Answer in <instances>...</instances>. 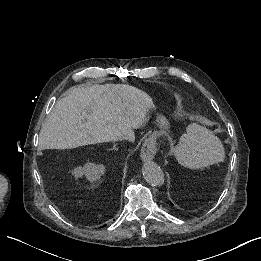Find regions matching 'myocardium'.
<instances>
[{"label": "myocardium", "mask_w": 261, "mask_h": 261, "mask_svg": "<svg viewBox=\"0 0 261 261\" xmlns=\"http://www.w3.org/2000/svg\"><path fill=\"white\" fill-rule=\"evenodd\" d=\"M185 122L177 116H168L162 129L157 130L152 125L148 126L147 141L156 144L158 153H173L181 145Z\"/></svg>", "instance_id": "1"}]
</instances>
